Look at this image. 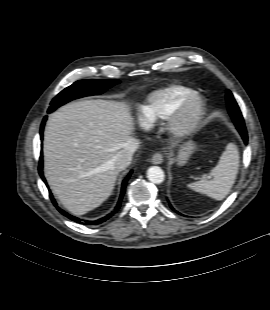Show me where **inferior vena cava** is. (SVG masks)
Returning <instances> with one entry per match:
<instances>
[{
	"mask_svg": "<svg viewBox=\"0 0 270 310\" xmlns=\"http://www.w3.org/2000/svg\"><path fill=\"white\" fill-rule=\"evenodd\" d=\"M140 141L138 139H130L113 158V163L118 171L127 168L132 161L134 152L139 148Z\"/></svg>",
	"mask_w": 270,
	"mask_h": 310,
	"instance_id": "602c4592",
	"label": "inferior vena cava"
}]
</instances>
